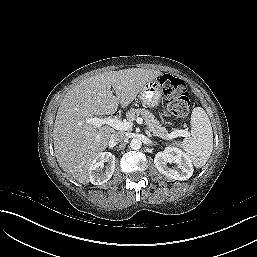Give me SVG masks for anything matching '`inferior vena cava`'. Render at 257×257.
Returning a JSON list of instances; mask_svg holds the SVG:
<instances>
[{
	"instance_id": "1",
	"label": "inferior vena cava",
	"mask_w": 257,
	"mask_h": 257,
	"mask_svg": "<svg viewBox=\"0 0 257 257\" xmlns=\"http://www.w3.org/2000/svg\"><path fill=\"white\" fill-rule=\"evenodd\" d=\"M127 139L125 133L123 132H115L110 136L109 144L110 145H116L120 142H123Z\"/></svg>"
}]
</instances>
